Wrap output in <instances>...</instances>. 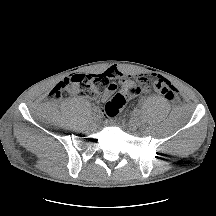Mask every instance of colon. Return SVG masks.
Listing matches in <instances>:
<instances>
[{"label":"colon","mask_w":216,"mask_h":216,"mask_svg":"<svg viewBox=\"0 0 216 216\" xmlns=\"http://www.w3.org/2000/svg\"><path fill=\"white\" fill-rule=\"evenodd\" d=\"M109 84V78L103 74H74L59 82L51 91V95L66 99L71 95L78 94L93 99L103 94L108 89ZM141 88H150L168 101H174L177 95L176 88L165 78L160 76L144 77L139 83L124 87L114 95L104 106L105 116L108 118L116 117L131 98V95L140 91Z\"/></svg>","instance_id":"1"}]
</instances>
